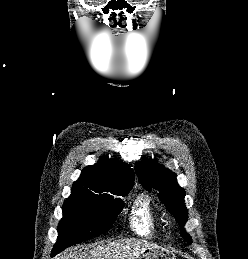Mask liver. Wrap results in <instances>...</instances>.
<instances>
[{
  "label": "liver",
  "instance_id": "1",
  "mask_svg": "<svg viewBox=\"0 0 248 259\" xmlns=\"http://www.w3.org/2000/svg\"><path fill=\"white\" fill-rule=\"evenodd\" d=\"M152 247L154 245L145 240L121 239L84 251L81 247L70 248L56 259H136L143 251Z\"/></svg>",
  "mask_w": 248,
  "mask_h": 259
}]
</instances>
